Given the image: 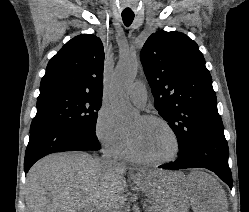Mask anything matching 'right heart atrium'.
<instances>
[{
    "label": "right heart atrium",
    "instance_id": "1",
    "mask_svg": "<svg viewBox=\"0 0 249 212\" xmlns=\"http://www.w3.org/2000/svg\"><path fill=\"white\" fill-rule=\"evenodd\" d=\"M94 135L109 157L121 160L126 156L128 152L126 135L120 128L112 109L107 105H102L97 111Z\"/></svg>",
    "mask_w": 249,
    "mask_h": 212
}]
</instances>
